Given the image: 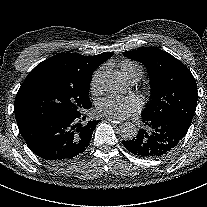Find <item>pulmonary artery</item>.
Returning <instances> with one entry per match:
<instances>
[{
  "mask_svg": "<svg viewBox=\"0 0 207 207\" xmlns=\"http://www.w3.org/2000/svg\"><path fill=\"white\" fill-rule=\"evenodd\" d=\"M140 77V72H133L130 75L127 76V79L129 80V82L134 83L136 82Z\"/></svg>",
  "mask_w": 207,
  "mask_h": 207,
  "instance_id": "obj_1",
  "label": "pulmonary artery"
}]
</instances>
